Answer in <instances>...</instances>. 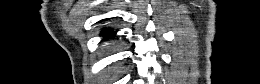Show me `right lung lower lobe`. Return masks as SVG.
I'll use <instances>...</instances> for the list:
<instances>
[{"label":"right lung lower lobe","mask_w":260,"mask_h":84,"mask_svg":"<svg viewBox=\"0 0 260 84\" xmlns=\"http://www.w3.org/2000/svg\"><path fill=\"white\" fill-rule=\"evenodd\" d=\"M115 33L111 29H105L101 32V35L103 36L104 39H108L111 36H113Z\"/></svg>","instance_id":"1"}]
</instances>
